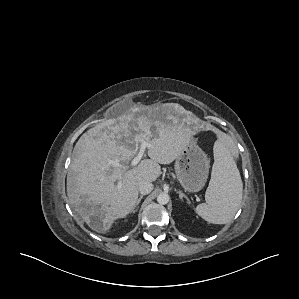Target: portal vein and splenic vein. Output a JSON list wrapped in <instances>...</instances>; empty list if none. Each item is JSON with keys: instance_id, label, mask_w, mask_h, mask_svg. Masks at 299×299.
I'll return each mask as SVG.
<instances>
[{"instance_id": "1", "label": "portal vein and splenic vein", "mask_w": 299, "mask_h": 299, "mask_svg": "<svg viewBox=\"0 0 299 299\" xmlns=\"http://www.w3.org/2000/svg\"><path fill=\"white\" fill-rule=\"evenodd\" d=\"M151 147V145L149 143H147L146 141L144 140H141V144H140V148H139V152L138 154L136 155V157H134L131 161V166H136L139 161L142 159L143 155H144V152L146 150V148H149ZM111 165L115 166V167H120L122 168L123 170H127L128 169V166L127 165H122L119 163L118 160H111L109 162Z\"/></svg>"}]
</instances>
